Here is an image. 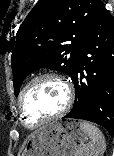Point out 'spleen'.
I'll return each mask as SVG.
<instances>
[{"instance_id":"1","label":"spleen","mask_w":114,"mask_h":156,"mask_svg":"<svg viewBox=\"0 0 114 156\" xmlns=\"http://www.w3.org/2000/svg\"><path fill=\"white\" fill-rule=\"evenodd\" d=\"M80 125L89 136L90 141L80 150L79 156H102L106 150V142L102 132L87 121H81Z\"/></svg>"}]
</instances>
